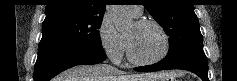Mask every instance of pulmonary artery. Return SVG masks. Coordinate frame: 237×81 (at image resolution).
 I'll use <instances>...</instances> for the list:
<instances>
[{"instance_id":"1","label":"pulmonary artery","mask_w":237,"mask_h":81,"mask_svg":"<svg viewBox=\"0 0 237 81\" xmlns=\"http://www.w3.org/2000/svg\"><path fill=\"white\" fill-rule=\"evenodd\" d=\"M129 10L135 17H139L142 14V9L139 6H129Z\"/></svg>"}]
</instances>
